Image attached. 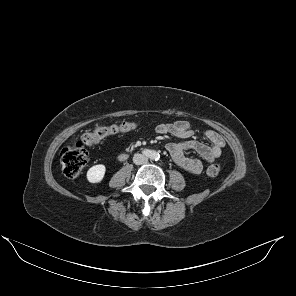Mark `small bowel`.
Returning a JSON list of instances; mask_svg holds the SVG:
<instances>
[{
    "label": "small bowel",
    "mask_w": 296,
    "mask_h": 296,
    "mask_svg": "<svg viewBox=\"0 0 296 296\" xmlns=\"http://www.w3.org/2000/svg\"><path fill=\"white\" fill-rule=\"evenodd\" d=\"M155 131L161 135H172L185 139L180 143H168L166 146L174 163L191 174H199L203 169V162L212 163L222 153L224 146L223 138L215 131L208 130L204 136L208 139L209 144L191 140L194 130L191 124L186 120H179L171 123H161L155 127ZM192 150L196 152L199 158L188 157L185 151Z\"/></svg>",
    "instance_id": "1"
}]
</instances>
